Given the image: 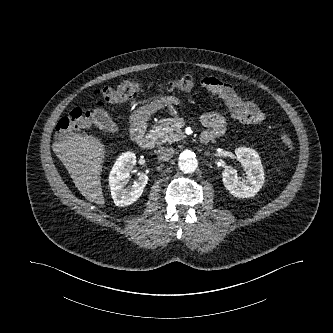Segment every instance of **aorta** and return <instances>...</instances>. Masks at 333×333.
Returning <instances> with one entry per match:
<instances>
[{"instance_id": "obj_1", "label": "aorta", "mask_w": 333, "mask_h": 333, "mask_svg": "<svg viewBox=\"0 0 333 333\" xmlns=\"http://www.w3.org/2000/svg\"><path fill=\"white\" fill-rule=\"evenodd\" d=\"M178 166L184 173H193L198 167L195 153L190 150L182 151L179 155Z\"/></svg>"}]
</instances>
